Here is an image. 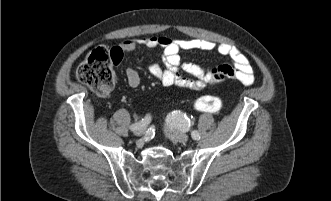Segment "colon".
I'll return each mask as SVG.
<instances>
[{
    "label": "colon",
    "mask_w": 331,
    "mask_h": 201,
    "mask_svg": "<svg viewBox=\"0 0 331 201\" xmlns=\"http://www.w3.org/2000/svg\"><path fill=\"white\" fill-rule=\"evenodd\" d=\"M113 52L102 47L94 48L78 66L76 78L100 96L108 95L115 85ZM195 109L201 112L218 113L224 106L223 100L214 95H206L196 99Z\"/></svg>",
    "instance_id": "colon-1"
}]
</instances>
